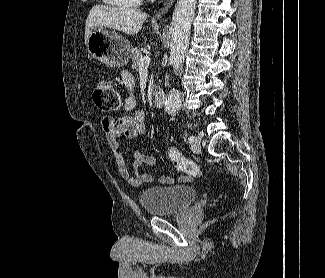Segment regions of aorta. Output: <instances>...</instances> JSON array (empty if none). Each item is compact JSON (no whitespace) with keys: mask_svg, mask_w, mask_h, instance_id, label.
Segmentation results:
<instances>
[{"mask_svg":"<svg viewBox=\"0 0 325 278\" xmlns=\"http://www.w3.org/2000/svg\"><path fill=\"white\" fill-rule=\"evenodd\" d=\"M197 0H179L173 12L171 22L170 62L174 73L182 71V63L189 45L191 22L195 13ZM181 106V95L178 90H171L166 99L165 108L168 114H174Z\"/></svg>","mask_w":325,"mask_h":278,"instance_id":"762f6f07","label":"aorta"}]
</instances>
